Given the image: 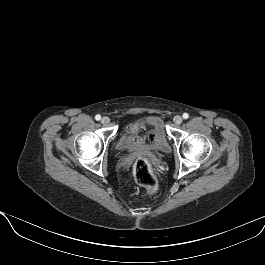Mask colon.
<instances>
[{"label": "colon", "instance_id": "5ec220e1", "mask_svg": "<svg viewBox=\"0 0 265 265\" xmlns=\"http://www.w3.org/2000/svg\"><path fill=\"white\" fill-rule=\"evenodd\" d=\"M139 132L141 134L144 133L145 137L151 142L158 139V133L153 128L147 131H143L142 129H140ZM133 172L136 181L140 185L148 188L150 191H154L157 189L158 182L155 175L152 172L151 166L147 159L138 158L134 164Z\"/></svg>", "mask_w": 265, "mask_h": 265}]
</instances>
